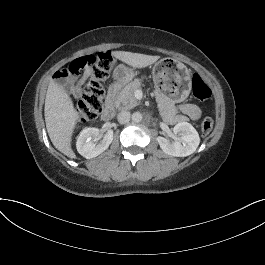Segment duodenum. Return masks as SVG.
Wrapping results in <instances>:
<instances>
[{
  "label": "duodenum",
  "instance_id": "410a0bca",
  "mask_svg": "<svg viewBox=\"0 0 265 265\" xmlns=\"http://www.w3.org/2000/svg\"><path fill=\"white\" fill-rule=\"evenodd\" d=\"M121 86V82H115L112 84L108 90L105 107L102 112V118L104 120H110L115 115V98L116 94Z\"/></svg>",
  "mask_w": 265,
  "mask_h": 265
}]
</instances>
